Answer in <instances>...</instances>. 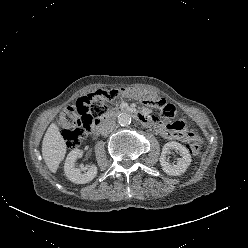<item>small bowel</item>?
<instances>
[{
	"label": "small bowel",
	"instance_id": "obj_1",
	"mask_svg": "<svg viewBox=\"0 0 248 248\" xmlns=\"http://www.w3.org/2000/svg\"><path fill=\"white\" fill-rule=\"evenodd\" d=\"M155 127L156 130L167 139L189 142L193 139L199 138L197 133L188 130L186 123L182 120L176 121L172 124H164L156 121Z\"/></svg>",
	"mask_w": 248,
	"mask_h": 248
}]
</instances>
